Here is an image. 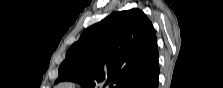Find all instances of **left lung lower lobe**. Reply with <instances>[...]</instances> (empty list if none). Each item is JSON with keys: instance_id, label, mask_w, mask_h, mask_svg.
<instances>
[{"instance_id": "0a47b994", "label": "left lung lower lobe", "mask_w": 223, "mask_h": 88, "mask_svg": "<svg viewBox=\"0 0 223 88\" xmlns=\"http://www.w3.org/2000/svg\"><path fill=\"white\" fill-rule=\"evenodd\" d=\"M159 63L156 60L126 88H158Z\"/></svg>"}]
</instances>
